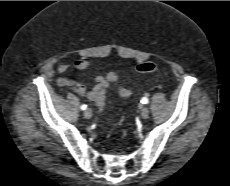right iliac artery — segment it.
<instances>
[{
  "mask_svg": "<svg viewBox=\"0 0 230 186\" xmlns=\"http://www.w3.org/2000/svg\"><path fill=\"white\" fill-rule=\"evenodd\" d=\"M81 109H82V110H86V109H87V105H82V106H81Z\"/></svg>",
  "mask_w": 230,
  "mask_h": 186,
  "instance_id": "1",
  "label": "right iliac artery"
}]
</instances>
